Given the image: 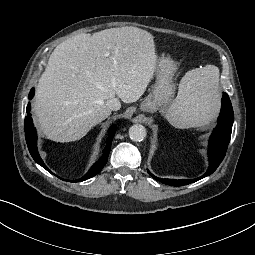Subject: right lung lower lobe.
<instances>
[{
  "label": "right lung lower lobe",
  "mask_w": 255,
  "mask_h": 255,
  "mask_svg": "<svg viewBox=\"0 0 255 255\" xmlns=\"http://www.w3.org/2000/svg\"><path fill=\"white\" fill-rule=\"evenodd\" d=\"M33 95H34V89H32L30 91L29 99H31L33 97ZM30 106H31V104L28 103L27 108H26V112L28 113V115L25 117V122H24L26 143H27L28 149H29L30 154L33 157V159L39 165H41L43 168H45L47 171L51 172L48 169V167L44 164L42 159L40 158L38 150H37V144H36L37 134H36V130L33 125V120L31 118V114L29 113L31 110ZM113 137H114V128H111L110 133H109V139L107 140L106 147L103 150L102 156L90 168V170L87 172V174L85 176H83L82 178L77 179V180H65V181H67V182H81V181H84L86 179H89V178L97 175L102 170V168L105 166V164L108 160V155H109V152L111 149V143H112Z\"/></svg>",
  "instance_id": "right-lung-lower-lobe-1"
}]
</instances>
